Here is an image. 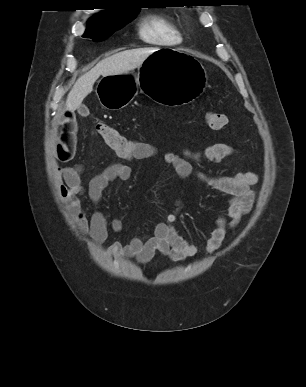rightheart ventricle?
<instances>
[{
    "label": "right heart ventricle",
    "instance_id": "obj_1",
    "mask_svg": "<svg viewBox=\"0 0 306 387\" xmlns=\"http://www.w3.org/2000/svg\"><path fill=\"white\" fill-rule=\"evenodd\" d=\"M138 33L144 42L158 46H174L183 40L177 22L165 13H151L143 17L138 25Z\"/></svg>",
    "mask_w": 306,
    "mask_h": 387
}]
</instances>
